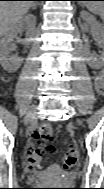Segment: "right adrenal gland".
<instances>
[{
    "label": "right adrenal gland",
    "instance_id": "right-adrenal-gland-1",
    "mask_svg": "<svg viewBox=\"0 0 104 189\" xmlns=\"http://www.w3.org/2000/svg\"><path fill=\"white\" fill-rule=\"evenodd\" d=\"M36 8H37V4L36 3L31 6L32 10H35Z\"/></svg>",
    "mask_w": 104,
    "mask_h": 189
}]
</instances>
